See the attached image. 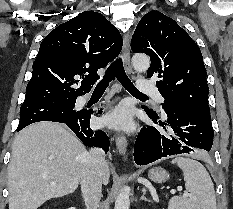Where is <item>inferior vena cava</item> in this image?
<instances>
[{"mask_svg":"<svg viewBox=\"0 0 233 209\" xmlns=\"http://www.w3.org/2000/svg\"><path fill=\"white\" fill-rule=\"evenodd\" d=\"M105 152L92 148L86 156L81 174V190L87 209H97L102 196L103 167Z\"/></svg>","mask_w":233,"mask_h":209,"instance_id":"602c4592","label":"inferior vena cava"}]
</instances>
